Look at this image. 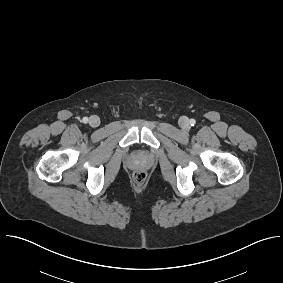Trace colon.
<instances>
[{"label": "colon", "mask_w": 283, "mask_h": 283, "mask_svg": "<svg viewBox=\"0 0 283 283\" xmlns=\"http://www.w3.org/2000/svg\"><path fill=\"white\" fill-rule=\"evenodd\" d=\"M133 178L136 183H142L146 178V174L144 172L138 171L134 173Z\"/></svg>", "instance_id": "colon-1"}]
</instances>
